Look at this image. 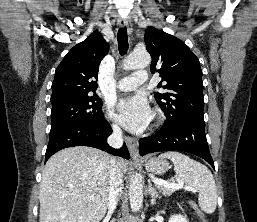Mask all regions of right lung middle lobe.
Instances as JSON below:
<instances>
[{
	"instance_id": "obj_1",
	"label": "right lung middle lobe",
	"mask_w": 257,
	"mask_h": 222,
	"mask_svg": "<svg viewBox=\"0 0 257 222\" xmlns=\"http://www.w3.org/2000/svg\"><path fill=\"white\" fill-rule=\"evenodd\" d=\"M51 103V130L67 124H99L105 119L97 95L51 100Z\"/></svg>"
}]
</instances>
